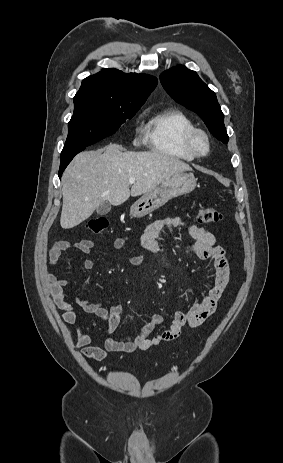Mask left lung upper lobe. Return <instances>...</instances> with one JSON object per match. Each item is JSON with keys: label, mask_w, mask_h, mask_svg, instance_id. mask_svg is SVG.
Returning <instances> with one entry per match:
<instances>
[{"label": "left lung upper lobe", "mask_w": 283, "mask_h": 463, "mask_svg": "<svg viewBox=\"0 0 283 463\" xmlns=\"http://www.w3.org/2000/svg\"><path fill=\"white\" fill-rule=\"evenodd\" d=\"M160 80L164 89L175 101L196 112L209 131L221 142H228L224 114L216 95L195 71L184 66H176L163 72Z\"/></svg>", "instance_id": "obj_1"}]
</instances>
